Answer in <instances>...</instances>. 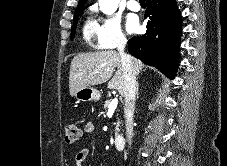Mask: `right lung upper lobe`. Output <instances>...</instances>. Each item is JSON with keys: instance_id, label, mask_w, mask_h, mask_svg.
<instances>
[{"instance_id": "1", "label": "right lung upper lobe", "mask_w": 227, "mask_h": 166, "mask_svg": "<svg viewBox=\"0 0 227 166\" xmlns=\"http://www.w3.org/2000/svg\"><path fill=\"white\" fill-rule=\"evenodd\" d=\"M87 2V0H79L78 6L77 7H83L85 5V3Z\"/></svg>"}]
</instances>
